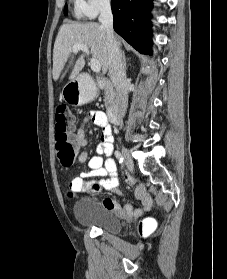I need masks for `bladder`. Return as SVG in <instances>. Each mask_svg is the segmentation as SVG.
<instances>
[{
	"mask_svg": "<svg viewBox=\"0 0 227 279\" xmlns=\"http://www.w3.org/2000/svg\"><path fill=\"white\" fill-rule=\"evenodd\" d=\"M74 218L84 226L95 227L103 232L118 235L122 231V221L92 198H85L75 206Z\"/></svg>",
	"mask_w": 227,
	"mask_h": 279,
	"instance_id": "bladder-1",
	"label": "bladder"
}]
</instances>
